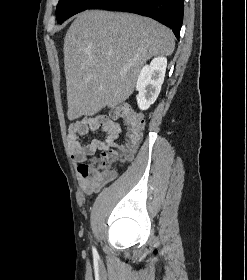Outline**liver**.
Here are the masks:
<instances>
[{
  "mask_svg": "<svg viewBox=\"0 0 247 280\" xmlns=\"http://www.w3.org/2000/svg\"><path fill=\"white\" fill-rule=\"evenodd\" d=\"M174 47L172 31L151 18L97 10L78 14L63 48L68 118L124 102L146 61L169 56Z\"/></svg>",
  "mask_w": 247,
  "mask_h": 280,
  "instance_id": "6515ba94",
  "label": "liver"
}]
</instances>
